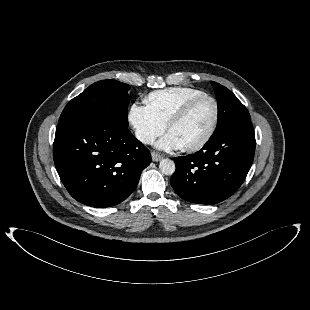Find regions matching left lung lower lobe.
<instances>
[{"mask_svg": "<svg viewBox=\"0 0 310 310\" xmlns=\"http://www.w3.org/2000/svg\"><path fill=\"white\" fill-rule=\"evenodd\" d=\"M255 153V134L246 122L184 157L174 158L176 171L171 185L184 200L198 204H216L232 194L244 182Z\"/></svg>", "mask_w": 310, "mask_h": 310, "instance_id": "left-lung-lower-lobe-1", "label": "left lung lower lobe"}]
</instances>
